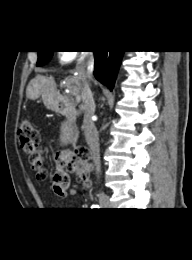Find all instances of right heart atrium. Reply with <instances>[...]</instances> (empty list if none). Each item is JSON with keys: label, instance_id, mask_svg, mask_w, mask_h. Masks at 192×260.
<instances>
[{"label": "right heart atrium", "instance_id": "d8ad5b80", "mask_svg": "<svg viewBox=\"0 0 192 260\" xmlns=\"http://www.w3.org/2000/svg\"><path fill=\"white\" fill-rule=\"evenodd\" d=\"M75 57H76V53L71 51H63L60 52L58 55L59 61L61 63H68L72 61Z\"/></svg>", "mask_w": 192, "mask_h": 260}]
</instances>
